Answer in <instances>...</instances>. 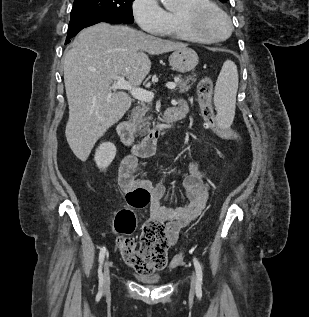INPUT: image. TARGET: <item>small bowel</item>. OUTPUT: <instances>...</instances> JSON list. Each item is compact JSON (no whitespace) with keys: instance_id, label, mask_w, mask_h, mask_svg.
<instances>
[{"instance_id":"small-bowel-1","label":"small bowel","mask_w":309,"mask_h":317,"mask_svg":"<svg viewBox=\"0 0 309 317\" xmlns=\"http://www.w3.org/2000/svg\"><path fill=\"white\" fill-rule=\"evenodd\" d=\"M176 109L180 116L179 119L188 112L187 104L183 100L177 102ZM137 163L135 155H128L122 160L118 173L119 187L125 194L136 189L148 191L151 219L159 220L165 224L169 245L173 246L178 241L183 229L198 218L206 207L210 189V183L205 178L206 171L200 168L198 162H191L189 174L183 180L185 202L175 206H167L163 204L167 196L166 188L163 185H153L148 179L134 176Z\"/></svg>"}]
</instances>
